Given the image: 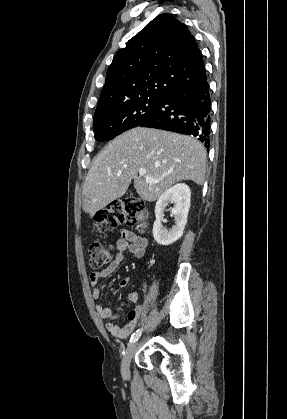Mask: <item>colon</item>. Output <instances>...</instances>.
<instances>
[{
    "label": "colon",
    "mask_w": 287,
    "mask_h": 419,
    "mask_svg": "<svg viewBox=\"0 0 287 419\" xmlns=\"http://www.w3.org/2000/svg\"><path fill=\"white\" fill-rule=\"evenodd\" d=\"M142 201L135 198H121L112 201L106 208L96 213L94 227L97 230H115L121 224L133 225L143 210ZM90 265L99 268L108 263L111 248L101 242H93L89 247Z\"/></svg>",
    "instance_id": "colon-1"
}]
</instances>
